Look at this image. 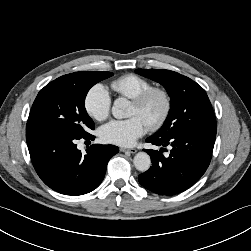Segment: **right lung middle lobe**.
Segmentation results:
<instances>
[{"label": "right lung middle lobe", "mask_w": 251, "mask_h": 251, "mask_svg": "<svg viewBox=\"0 0 251 251\" xmlns=\"http://www.w3.org/2000/svg\"><path fill=\"white\" fill-rule=\"evenodd\" d=\"M111 72H80L76 77L47 84L38 93L28 118V125L49 128L84 138L95 124L85 109V97L96 83L111 77Z\"/></svg>", "instance_id": "right-lung-middle-lobe-1"}]
</instances>
